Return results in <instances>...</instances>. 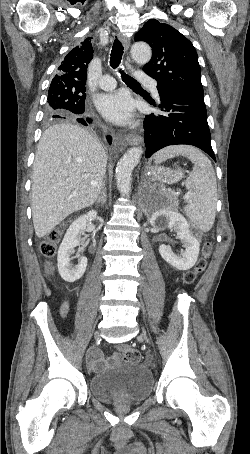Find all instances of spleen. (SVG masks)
Here are the masks:
<instances>
[{"label": "spleen", "mask_w": 250, "mask_h": 454, "mask_svg": "<svg viewBox=\"0 0 250 454\" xmlns=\"http://www.w3.org/2000/svg\"><path fill=\"white\" fill-rule=\"evenodd\" d=\"M183 155L194 167L185 181L190 202L184 211L191 222L203 232H208L215 221L217 183L210 160L198 149L189 145L168 146L154 155L156 164Z\"/></svg>", "instance_id": "3e777b00"}]
</instances>
